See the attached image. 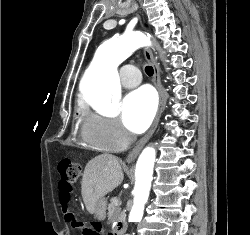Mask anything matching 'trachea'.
I'll return each mask as SVG.
<instances>
[{
  "label": "trachea",
  "mask_w": 250,
  "mask_h": 235,
  "mask_svg": "<svg viewBox=\"0 0 250 235\" xmlns=\"http://www.w3.org/2000/svg\"><path fill=\"white\" fill-rule=\"evenodd\" d=\"M145 72L147 73V75L152 76L154 71H153V68L151 66H146Z\"/></svg>",
  "instance_id": "obj_1"
}]
</instances>
